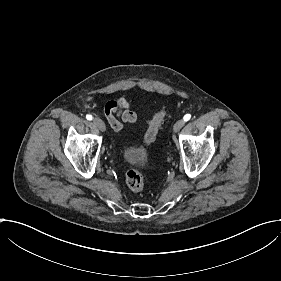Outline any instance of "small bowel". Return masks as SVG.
I'll return each instance as SVG.
<instances>
[{"mask_svg": "<svg viewBox=\"0 0 281 281\" xmlns=\"http://www.w3.org/2000/svg\"><path fill=\"white\" fill-rule=\"evenodd\" d=\"M106 119L114 130L121 131L124 129L123 122L135 124L137 115L131 109L127 99L117 98L107 102Z\"/></svg>", "mask_w": 281, "mask_h": 281, "instance_id": "small-bowel-1", "label": "small bowel"}]
</instances>
